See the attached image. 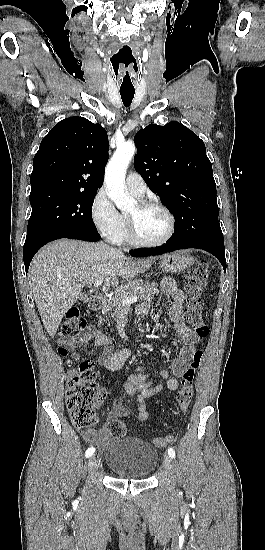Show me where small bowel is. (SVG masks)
Listing matches in <instances>:
<instances>
[{
	"mask_svg": "<svg viewBox=\"0 0 265 550\" xmlns=\"http://www.w3.org/2000/svg\"><path fill=\"white\" fill-rule=\"evenodd\" d=\"M162 291L171 300L169 317L174 322L175 330L183 342L184 346L180 350L178 356L173 359L171 368L163 369L159 375L166 380L163 383H156L153 376L146 371L144 367H138L133 373L126 376L124 388L131 396L137 407V418L139 421H146L149 418V413L146 407L145 400L158 395L164 387L171 391H176L179 387L178 379L181 378L186 370V364L192 359L201 343V338L193 332L186 324L183 316L184 294L177 286L174 280L166 278L161 284ZM150 306L148 303H143L138 306L137 313L141 316L148 314ZM93 341L97 346L103 347L105 350L99 357V362L105 365L110 370L119 369L124 362L131 356V351L128 348L113 350L109 338L101 331L91 327L80 335L66 337L62 339V343L69 346L73 351L78 348H84L88 351L89 342ZM74 358L78 355L72 353ZM129 414L128 409L121 404L113 406L105 417V422L118 417H124ZM84 438L87 442L101 445L107 438V432L104 427L99 429H87L84 433Z\"/></svg>",
	"mask_w": 265,
	"mask_h": 550,
	"instance_id": "c3829d8e",
	"label": "small bowel"
}]
</instances>
